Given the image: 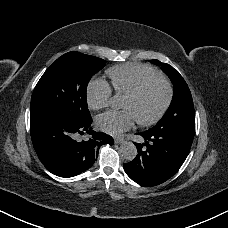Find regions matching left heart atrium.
I'll return each mask as SVG.
<instances>
[{"mask_svg": "<svg viewBox=\"0 0 228 228\" xmlns=\"http://www.w3.org/2000/svg\"><path fill=\"white\" fill-rule=\"evenodd\" d=\"M133 121L134 115L130 110L110 111L98 118L101 128L109 134H119L129 128Z\"/></svg>", "mask_w": 228, "mask_h": 228, "instance_id": "obj_1", "label": "left heart atrium"}]
</instances>
